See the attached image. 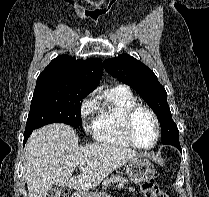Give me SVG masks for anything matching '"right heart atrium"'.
Returning a JSON list of instances; mask_svg holds the SVG:
<instances>
[{"mask_svg":"<svg viewBox=\"0 0 209 197\" xmlns=\"http://www.w3.org/2000/svg\"><path fill=\"white\" fill-rule=\"evenodd\" d=\"M97 109H98V101L96 97L93 94H91L88 97H86L81 104V109H80L81 118L85 120L87 117L93 114Z\"/></svg>","mask_w":209,"mask_h":197,"instance_id":"1","label":"right heart atrium"}]
</instances>
